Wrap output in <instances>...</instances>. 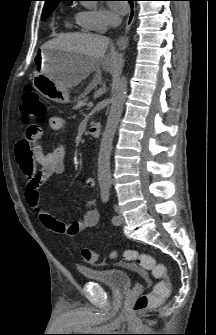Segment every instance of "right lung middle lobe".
I'll return each instance as SVG.
<instances>
[{
	"label": "right lung middle lobe",
	"mask_w": 216,
	"mask_h": 335,
	"mask_svg": "<svg viewBox=\"0 0 216 335\" xmlns=\"http://www.w3.org/2000/svg\"><path fill=\"white\" fill-rule=\"evenodd\" d=\"M56 6L57 4L44 6L42 13V20L46 19L50 15V13L55 9Z\"/></svg>",
	"instance_id": "obj_1"
}]
</instances>
